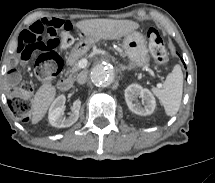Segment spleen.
I'll return each mask as SVG.
<instances>
[{
	"label": "spleen",
	"instance_id": "obj_1",
	"mask_svg": "<svg viewBox=\"0 0 215 183\" xmlns=\"http://www.w3.org/2000/svg\"><path fill=\"white\" fill-rule=\"evenodd\" d=\"M153 94L161 101L168 116H174L180 107L183 93V73L180 65H175L166 77L162 88H152Z\"/></svg>",
	"mask_w": 215,
	"mask_h": 183
}]
</instances>
